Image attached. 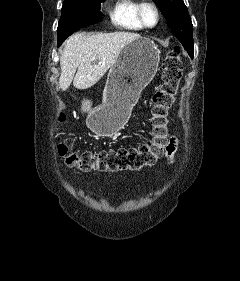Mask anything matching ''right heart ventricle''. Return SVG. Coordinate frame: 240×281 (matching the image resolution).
Segmentation results:
<instances>
[{"label": "right heart ventricle", "instance_id": "1", "mask_svg": "<svg viewBox=\"0 0 240 281\" xmlns=\"http://www.w3.org/2000/svg\"><path fill=\"white\" fill-rule=\"evenodd\" d=\"M138 4V0H115L109 11L112 24L124 30H142L144 27L137 16Z\"/></svg>", "mask_w": 240, "mask_h": 281}]
</instances>
